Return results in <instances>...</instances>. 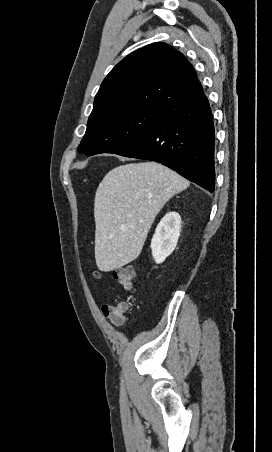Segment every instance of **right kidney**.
<instances>
[{"label": "right kidney", "instance_id": "1", "mask_svg": "<svg viewBox=\"0 0 272 452\" xmlns=\"http://www.w3.org/2000/svg\"><path fill=\"white\" fill-rule=\"evenodd\" d=\"M181 231V217L177 212L167 213L156 227L152 237V256L162 263L175 249Z\"/></svg>", "mask_w": 272, "mask_h": 452}]
</instances>
